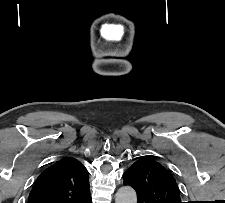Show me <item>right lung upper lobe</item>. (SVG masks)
Masks as SVG:
<instances>
[{
    "mask_svg": "<svg viewBox=\"0 0 225 203\" xmlns=\"http://www.w3.org/2000/svg\"><path fill=\"white\" fill-rule=\"evenodd\" d=\"M88 174L77 159L64 157L38 176L28 203H85L90 198Z\"/></svg>",
    "mask_w": 225,
    "mask_h": 203,
    "instance_id": "obj_1",
    "label": "right lung upper lobe"
}]
</instances>
